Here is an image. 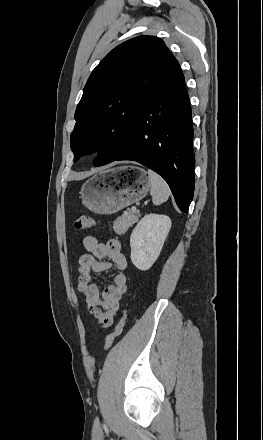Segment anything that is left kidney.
Returning <instances> with one entry per match:
<instances>
[{
	"instance_id": "1",
	"label": "left kidney",
	"mask_w": 263,
	"mask_h": 440,
	"mask_svg": "<svg viewBox=\"0 0 263 440\" xmlns=\"http://www.w3.org/2000/svg\"><path fill=\"white\" fill-rule=\"evenodd\" d=\"M171 228L166 215L147 214L133 229L130 236L131 261L136 268L148 270L157 260Z\"/></svg>"
}]
</instances>
